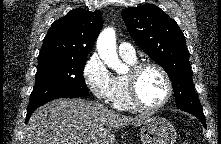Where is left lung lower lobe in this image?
Here are the masks:
<instances>
[{"label": "left lung lower lobe", "mask_w": 221, "mask_h": 144, "mask_svg": "<svg viewBox=\"0 0 221 144\" xmlns=\"http://www.w3.org/2000/svg\"><path fill=\"white\" fill-rule=\"evenodd\" d=\"M186 112L196 116L203 123V125L206 127L205 116L203 113H197V112H192V111H186Z\"/></svg>", "instance_id": "1"}]
</instances>
